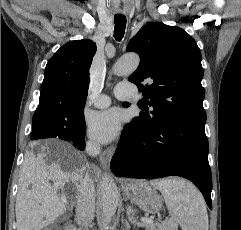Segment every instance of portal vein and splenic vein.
I'll return each mask as SVG.
<instances>
[{
    "instance_id": "obj_1",
    "label": "portal vein and splenic vein",
    "mask_w": 241,
    "mask_h": 230,
    "mask_svg": "<svg viewBox=\"0 0 241 230\" xmlns=\"http://www.w3.org/2000/svg\"><path fill=\"white\" fill-rule=\"evenodd\" d=\"M141 221L145 224L153 225L154 221L150 218H142Z\"/></svg>"
}]
</instances>
